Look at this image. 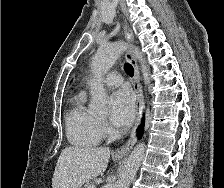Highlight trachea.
I'll list each match as a JSON object with an SVG mask.
<instances>
[{
    "label": "trachea",
    "mask_w": 224,
    "mask_h": 188,
    "mask_svg": "<svg viewBox=\"0 0 224 188\" xmlns=\"http://www.w3.org/2000/svg\"><path fill=\"white\" fill-rule=\"evenodd\" d=\"M124 69L126 71V73L130 76L133 77L134 75V68L132 67V65L130 63H125L124 65Z\"/></svg>",
    "instance_id": "3493384b"
}]
</instances>
